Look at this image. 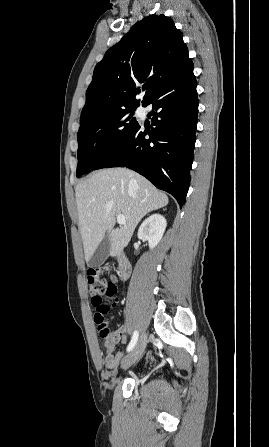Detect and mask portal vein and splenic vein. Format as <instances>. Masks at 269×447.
<instances>
[{"label": "portal vein and splenic vein", "mask_w": 269, "mask_h": 447, "mask_svg": "<svg viewBox=\"0 0 269 447\" xmlns=\"http://www.w3.org/2000/svg\"><path fill=\"white\" fill-rule=\"evenodd\" d=\"M117 222H118V224H126L125 216H123V214H120V216H117Z\"/></svg>", "instance_id": "1"}]
</instances>
